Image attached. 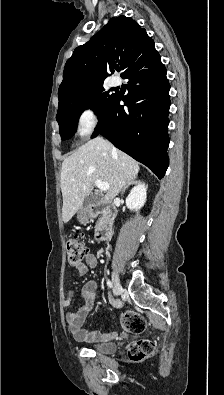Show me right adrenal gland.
Returning <instances> with one entry per match:
<instances>
[{
    "label": "right adrenal gland",
    "mask_w": 224,
    "mask_h": 395,
    "mask_svg": "<svg viewBox=\"0 0 224 395\" xmlns=\"http://www.w3.org/2000/svg\"><path fill=\"white\" fill-rule=\"evenodd\" d=\"M137 183H139L138 180H136V179L131 180V181L123 188L122 194L125 192V190H126L130 185L137 184Z\"/></svg>",
    "instance_id": "obj_1"
}]
</instances>
